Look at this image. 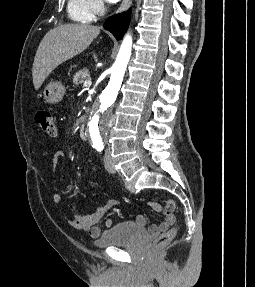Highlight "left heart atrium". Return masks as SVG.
Wrapping results in <instances>:
<instances>
[{
    "label": "left heart atrium",
    "mask_w": 255,
    "mask_h": 287,
    "mask_svg": "<svg viewBox=\"0 0 255 287\" xmlns=\"http://www.w3.org/2000/svg\"><path fill=\"white\" fill-rule=\"evenodd\" d=\"M73 33H86V32H73ZM72 39H87V38H72ZM74 48H88V47H74Z\"/></svg>",
    "instance_id": "1"
}]
</instances>
